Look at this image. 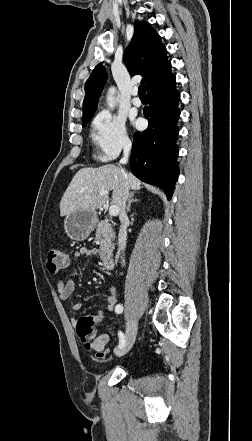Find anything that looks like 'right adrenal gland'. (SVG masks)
Returning <instances> with one entry per match:
<instances>
[{"instance_id": "2a0ac1e0", "label": "right adrenal gland", "mask_w": 252, "mask_h": 441, "mask_svg": "<svg viewBox=\"0 0 252 441\" xmlns=\"http://www.w3.org/2000/svg\"><path fill=\"white\" fill-rule=\"evenodd\" d=\"M138 199H134V193H130L128 198L127 212H130V207L133 202H137Z\"/></svg>"}]
</instances>
